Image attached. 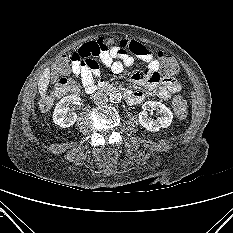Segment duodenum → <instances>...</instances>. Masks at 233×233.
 <instances>
[{
  "mask_svg": "<svg viewBox=\"0 0 233 233\" xmlns=\"http://www.w3.org/2000/svg\"><path fill=\"white\" fill-rule=\"evenodd\" d=\"M116 90H118V88L113 86V85L103 84V85H100L99 87H97L94 92L96 95H106V94H110ZM124 93L126 95V92H124Z\"/></svg>",
  "mask_w": 233,
  "mask_h": 233,
  "instance_id": "1",
  "label": "duodenum"
}]
</instances>
